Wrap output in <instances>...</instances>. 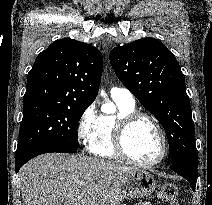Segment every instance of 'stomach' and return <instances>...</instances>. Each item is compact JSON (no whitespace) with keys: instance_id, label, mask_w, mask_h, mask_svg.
Returning a JSON list of instances; mask_svg holds the SVG:
<instances>
[{"instance_id":"1","label":"stomach","mask_w":212,"mask_h":205,"mask_svg":"<svg viewBox=\"0 0 212 205\" xmlns=\"http://www.w3.org/2000/svg\"><path fill=\"white\" fill-rule=\"evenodd\" d=\"M156 186L152 174L136 168L118 178L96 205H120L124 200L150 195Z\"/></svg>"}]
</instances>
